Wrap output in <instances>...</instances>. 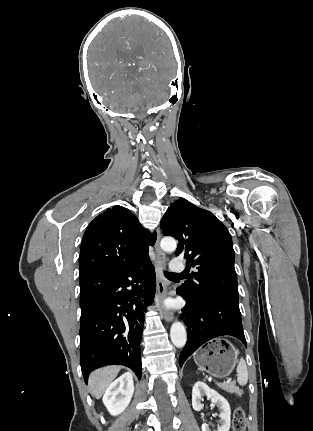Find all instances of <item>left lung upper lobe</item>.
<instances>
[{
    "label": "left lung upper lobe",
    "mask_w": 313,
    "mask_h": 431,
    "mask_svg": "<svg viewBox=\"0 0 313 431\" xmlns=\"http://www.w3.org/2000/svg\"><path fill=\"white\" fill-rule=\"evenodd\" d=\"M164 235L179 244L175 255H183L186 265L194 267L190 279L180 290L189 299L221 297L238 301L235 252L232 238L211 212L186 199L173 202L160 222Z\"/></svg>",
    "instance_id": "1"
}]
</instances>
